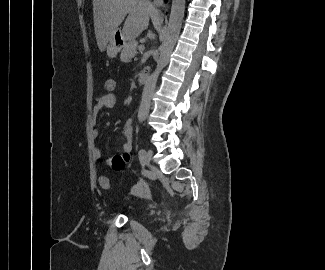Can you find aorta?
I'll return each instance as SVG.
<instances>
[{"instance_id": "1", "label": "aorta", "mask_w": 325, "mask_h": 270, "mask_svg": "<svg viewBox=\"0 0 325 270\" xmlns=\"http://www.w3.org/2000/svg\"><path fill=\"white\" fill-rule=\"evenodd\" d=\"M184 11L185 0H172L169 23L165 39L160 47V57L157 62V67L147 79L143 89L142 100L138 111L139 119H144L149 113L151 97L153 95L157 79L162 69L168 64L170 55L179 37Z\"/></svg>"}]
</instances>
